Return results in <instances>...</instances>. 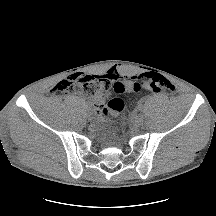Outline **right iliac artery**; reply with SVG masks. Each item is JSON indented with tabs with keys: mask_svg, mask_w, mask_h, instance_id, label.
Instances as JSON below:
<instances>
[{
	"mask_svg": "<svg viewBox=\"0 0 216 216\" xmlns=\"http://www.w3.org/2000/svg\"><path fill=\"white\" fill-rule=\"evenodd\" d=\"M88 115L91 113L90 110L87 108L85 111Z\"/></svg>",
	"mask_w": 216,
	"mask_h": 216,
	"instance_id": "82829eb1",
	"label": "right iliac artery"
}]
</instances>
